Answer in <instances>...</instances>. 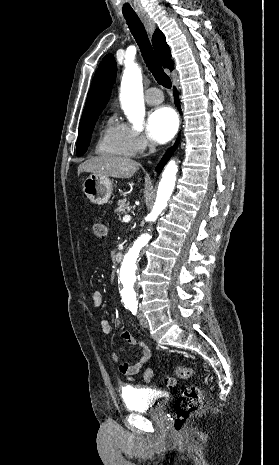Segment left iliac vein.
<instances>
[{
  "label": "left iliac vein",
  "instance_id": "4c4485c4",
  "mask_svg": "<svg viewBox=\"0 0 279 465\" xmlns=\"http://www.w3.org/2000/svg\"><path fill=\"white\" fill-rule=\"evenodd\" d=\"M140 325L144 328H147L149 325L148 320L146 319L144 315H140Z\"/></svg>",
  "mask_w": 279,
  "mask_h": 465
}]
</instances>
